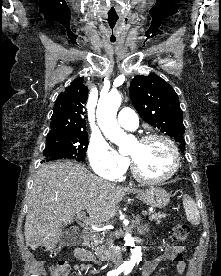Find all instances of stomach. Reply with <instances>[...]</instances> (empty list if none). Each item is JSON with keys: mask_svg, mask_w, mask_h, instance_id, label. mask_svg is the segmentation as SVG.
<instances>
[{"mask_svg": "<svg viewBox=\"0 0 221 276\" xmlns=\"http://www.w3.org/2000/svg\"><path fill=\"white\" fill-rule=\"evenodd\" d=\"M137 198L152 207L163 208L168 205L170 194L160 187H150L138 192Z\"/></svg>", "mask_w": 221, "mask_h": 276, "instance_id": "stomach-1", "label": "stomach"}]
</instances>
